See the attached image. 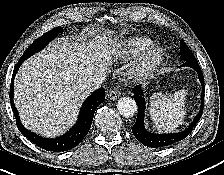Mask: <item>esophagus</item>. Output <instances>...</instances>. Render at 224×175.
I'll return each mask as SVG.
<instances>
[{"label":"esophagus","mask_w":224,"mask_h":175,"mask_svg":"<svg viewBox=\"0 0 224 175\" xmlns=\"http://www.w3.org/2000/svg\"><path fill=\"white\" fill-rule=\"evenodd\" d=\"M120 95H121L120 90L118 88H114L108 93V98L110 100H116L120 97Z\"/></svg>","instance_id":"obj_1"}]
</instances>
